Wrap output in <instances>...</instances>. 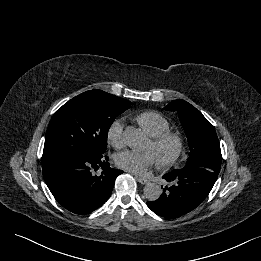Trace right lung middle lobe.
<instances>
[{"label": "right lung middle lobe", "instance_id": "dd1d6c3e", "mask_svg": "<svg viewBox=\"0 0 261 261\" xmlns=\"http://www.w3.org/2000/svg\"><path fill=\"white\" fill-rule=\"evenodd\" d=\"M131 103L101 90L86 91L60 107L45 137L43 157L61 153H100L114 119Z\"/></svg>", "mask_w": 261, "mask_h": 261}]
</instances>
